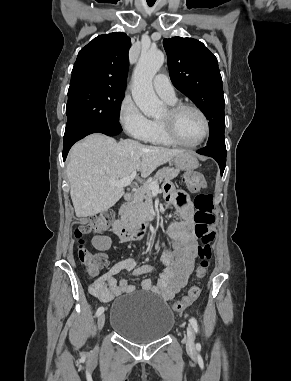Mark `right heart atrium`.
I'll return each instance as SVG.
<instances>
[{
    "mask_svg": "<svg viewBox=\"0 0 291 381\" xmlns=\"http://www.w3.org/2000/svg\"><path fill=\"white\" fill-rule=\"evenodd\" d=\"M118 118L128 135L144 140L151 126V121L142 113L135 101L126 95L119 106Z\"/></svg>",
    "mask_w": 291,
    "mask_h": 381,
    "instance_id": "right-heart-atrium-1",
    "label": "right heart atrium"
}]
</instances>
